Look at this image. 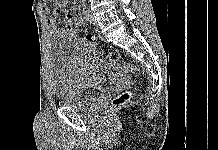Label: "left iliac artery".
<instances>
[{
    "mask_svg": "<svg viewBox=\"0 0 218 150\" xmlns=\"http://www.w3.org/2000/svg\"><path fill=\"white\" fill-rule=\"evenodd\" d=\"M82 1H85V0H82ZM81 17H82V18H85V17H86V14H85V13H82V14H81Z\"/></svg>",
    "mask_w": 218,
    "mask_h": 150,
    "instance_id": "44dca946",
    "label": "left iliac artery"
}]
</instances>
